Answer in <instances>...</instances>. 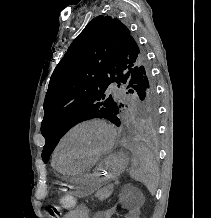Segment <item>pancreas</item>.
<instances>
[{
  "mask_svg": "<svg viewBox=\"0 0 211 218\" xmlns=\"http://www.w3.org/2000/svg\"><path fill=\"white\" fill-rule=\"evenodd\" d=\"M112 190H113V184H110V186H105V188H102V190H98L95 196H97L99 200H107V198L111 196Z\"/></svg>",
  "mask_w": 211,
  "mask_h": 218,
  "instance_id": "obj_1",
  "label": "pancreas"
}]
</instances>
